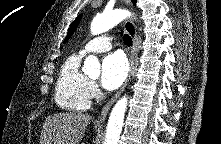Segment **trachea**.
I'll use <instances>...</instances> for the list:
<instances>
[{"label": "trachea", "mask_w": 221, "mask_h": 144, "mask_svg": "<svg viewBox=\"0 0 221 144\" xmlns=\"http://www.w3.org/2000/svg\"><path fill=\"white\" fill-rule=\"evenodd\" d=\"M123 39H124V43L127 45V46H131L132 45V38L128 35V34H125L123 36Z\"/></svg>", "instance_id": "1"}]
</instances>
